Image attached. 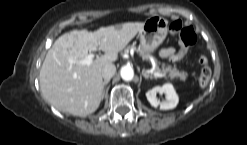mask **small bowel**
Listing matches in <instances>:
<instances>
[{
  "label": "small bowel",
  "mask_w": 247,
  "mask_h": 145,
  "mask_svg": "<svg viewBox=\"0 0 247 145\" xmlns=\"http://www.w3.org/2000/svg\"><path fill=\"white\" fill-rule=\"evenodd\" d=\"M185 49L181 48L176 50L175 48L168 47L160 51V55L164 58H169L172 61H178L182 59L185 55Z\"/></svg>",
  "instance_id": "1"
}]
</instances>
